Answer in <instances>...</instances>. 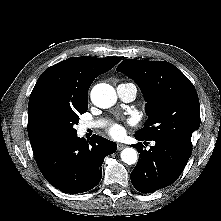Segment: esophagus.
I'll use <instances>...</instances> for the list:
<instances>
[{"label":"esophagus","mask_w":221,"mask_h":221,"mask_svg":"<svg viewBox=\"0 0 221 221\" xmlns=\"http://www.w3.org/2000/svg\"><path fill=\"white\" fill-rule=\"evenodd\" d=\"M126 147V145H124V144H121V143H118L117 144V150H122V149H124Z\"/></svg>","instance_id":"esophagus-1"}]
</instances>
